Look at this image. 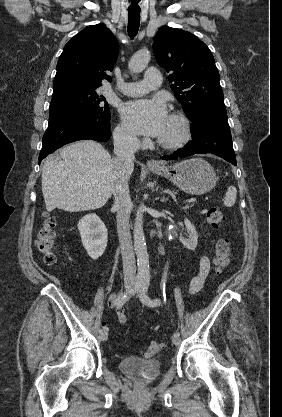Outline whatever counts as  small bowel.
<instances>
[{"mask_svg":"<svg viewBox=\"0 0 282 417\" xmlns=\"http://www.w3.org/2000/svg\"><path fill=\"white\" fill-rule=\"evenodd\" d=\"M211 264L210 259L207 255L203 254L199 258V271L196 276H194L190 282L188 291L191 295L198 293L204 287L205 281L210 273ZM115 298V295L111 297V300ZM116 313L118 317V321L122 326H125L127 323V319L125 316V311L122 306L116 307ZM106 327V324H103Z\"/></svg>","mask_w":282,"mask_h":417,"instance_id":"1","label":"small bowel"}]
</instances>
